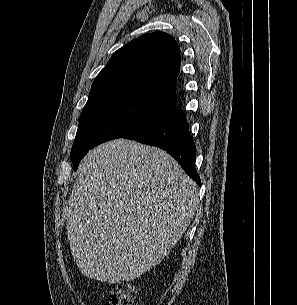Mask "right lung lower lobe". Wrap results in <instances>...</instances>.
<instances>
[{"mask_svg":"<svg viewBox=\"0 0 297 305\" xmlns=\"http://www.w3.org/2000/svg\"><path fill=\"white\" fill-rule=\"evenodd\" d=\"M123 138L136 140L160 147L174 157L183 170L201 186L195 170V143L189 133L186 116L180 107H173L166 114L150 124L126 135Z\"/></svg>","mask_w":297,"mask_h":305,"instance_id":"right-lung-lower-lobe-1","label":"right lung lower lobe"}]
</instances>
